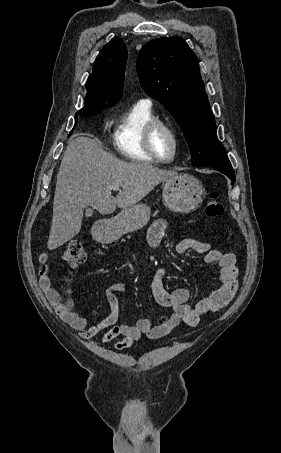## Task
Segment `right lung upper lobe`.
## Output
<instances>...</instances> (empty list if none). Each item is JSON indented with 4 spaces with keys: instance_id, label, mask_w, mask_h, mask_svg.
<instances>
[{
    "instance_id": "right-lung-upper-lobe-1",
    "label": "right lung upper lobe",
    "mask_w": 281,
    "mask_h": 453,
    "mask_svg": "<svg viewBox=\"0 0 281 453\" xmlns=\"http://www.w3.org/2000/svg\"><path fill=\"white\" fill-rule=\"evenodd\" d=\"M127 48L113 38L96 58L93 73L86 83L87 95L79 112H101L119 102L123 91Z\"/></svg>"
}]
</instances>
